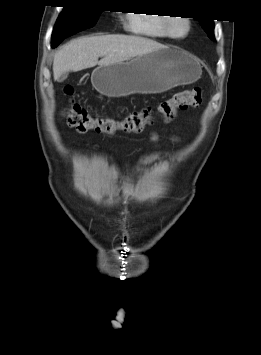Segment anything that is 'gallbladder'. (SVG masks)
<instances>
[{"instance_id": "obj_1", "label": "gallbladder", "mask_w": 261, "mask_h": 355, "mask_svg": "<svg viewBox=\"0 0 261 355\" xmlns=\"http://www.w3.org/2000/svg\"><path fill=\"white\" fill-rule=\"evenodd\" d=\"M68 74L67 73H63L59 78H58V82H63L66 78H67Z\"/></svg>"}]
</instances>
